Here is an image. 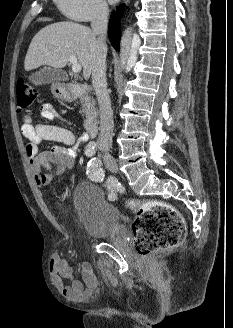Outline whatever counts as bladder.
I'll return each mask as SVG.
<instances>
[{
    "instance_id": "1",
    "label": "bladder",
    "mask_w": 233,
    "mask_h": 328,
    "mask_svg": "<svg viewBox=\"0 0 233 328\" xmlns=\"http://www.w3.org/2000/svg\"><path fill=\"white\" fill-rule=\"evenodd\" d=\"M73 207L84 232L92 238H108L120 228L118 209L92 183H79L72 193Z\"/></svg>"
}]
</instances>
